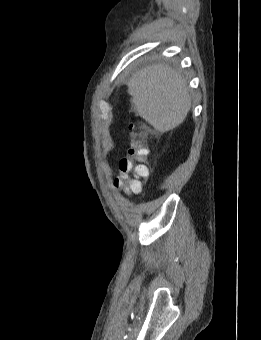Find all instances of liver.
Returning a JSON list of instances; mask_svg holds the SVG:
<instances>
[{
    "label": "liver",
    "mask_w": 261,
    "mask_h": 340,
    "mask_svg": "<svg viewBox=\"0 0 261 340\" xmlns=\"http://www.w3.org/2000/svg\"><path fill=\"white\" fill-rule=\"evenodd\" d=\"M127 84L137 115L160 133L186 119L191 99L178 70L164 64L148 65L134 73Z\"/></svg>",
    "instance_id": "obj_1"
}]
</instances>
